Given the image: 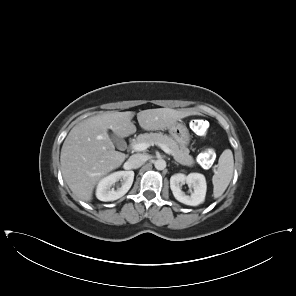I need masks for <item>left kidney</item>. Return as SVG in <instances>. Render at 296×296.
<instances>
[{
  "label": "left kidney",
  "instance_id": "1",
  "mask_svg": "<svg viewBox=\"0 0 296 296\" xmlns=\"http://www.w3.org/2000/svg\"><path fill=\"white\" fill-rule=\"evenodd\" d=\"M184 183L189 187H193L194 191L190 196L181 190V186ZM170 188L176 200L186 205L197 206L205 200L207 185L203 174L190 173L186 176L185 174L177 173L170 178Z\"/></svg>",
  "mask_w": 296,
  "mask_h": 296
}]
</instances>
